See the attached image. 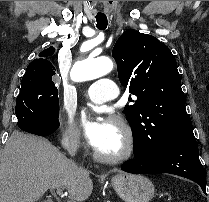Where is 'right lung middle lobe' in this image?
<instances>
[{
	"instance_id": "1",
	"label": "right lung middle lobe",
	"mask_w": 209,
	"mask_h": 202,
	"mask_svg": "<svg viewBox=\"0 0 209 202\" xmlns=\"http://www.w3.org/2000/svg\"><path fill=\"white\" fill-rule=\"evenodd\" d=\"M52 76L33 74L22 78L15 107L17 117L33 113L48 118L59 117L58 91Z\"/></svg>"
}]
</instances>
